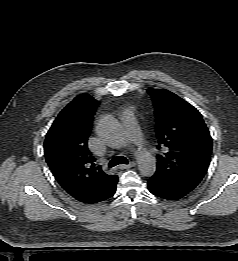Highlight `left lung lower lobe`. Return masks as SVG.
<instances>
[{"label": "left lung lower lobe", "mask_w": 238, "mask_h": 261, "mask_svg": "<svg viewBox=\"0 0 238 261\" xmlns=\"http://www.w3.org/2000/svg\"><path fill=\"white\" fill-rule=\"evenodd\" d=\"M148 190L155 196L166 200H178L188 193L178 188L174 184L153 175L148 179Z\"/></svg>", "instance_id": "1"}]
</instances>
